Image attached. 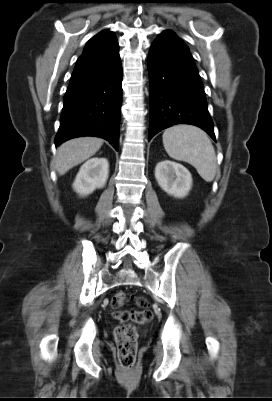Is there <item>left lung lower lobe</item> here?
Segmentation results:
<instances>
[{
    "mask_svg": "<svg viewBox=\"0 0 272 401\" xmlns=\"http://www.w3.org/2000/svg\"><path fill=\"white\" fill-rule=\"evenodd\" d=\"M150 81V140L175 124L195 125L216 141L204 86L185 43L172 31H163L148 55Z\"/></svg>",
    "mask_w": 272,
    "mask_h": 401,
    "instance_id": "obj_1",
    "label": "left lung lower lobe"
}]
</instances>
